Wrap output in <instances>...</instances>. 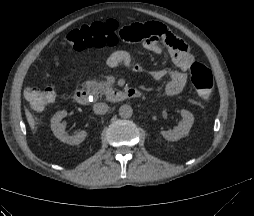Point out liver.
<instances>
[{
	"label": "liver",
	"instance_id": "obj_1",
	"mask_svg": "<svg viewBox=\"0 0 254 216\" xmlns=\"http://www.w3.org/2000/svg\"><path fill=\"white\" fill-rule=\"evenodd\" d=\"M26 118H27L30 128L32 129L33 132H35L36 122H35L32 114L29 111H26Z\"/></svg>",
	"mask_w": 254,
	"mask_h": 216
}]
</instances>
